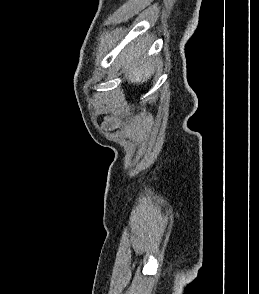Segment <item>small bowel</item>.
I'll return each instance as SVG.
<instances>
[{
	"mask_svg": "<svg viewBox=\"0 0 259 294\" xmlns=\"http://www.w3.org/2000/svg\"><path fill=\"white\" fill-rule=\"evenodd\" d=\"M102 126L106 130H116L121 126V120L117 117H107Z\"/></svg>",
	"mask_w": 259,
	"mask_h": 294,
	"instance_id": "small-bowel-1",
	"label": "small bowel"
}]
</instances>
